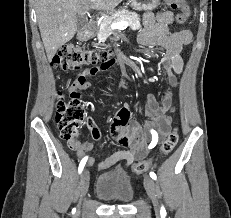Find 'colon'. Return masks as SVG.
<instances>
[{
    "mask_svg": "<svg viewBox=\"0 0 231 218\" xmlns=\"http://www.w3.org/2000/svg\"><path fill=\"white\" fill-rule=\"evenodd\" d=\"M165 2L172 9L182 10V13L177 15L178 23H184L187 20L189 9L184 0H165ZM103 60H111L108 50L96 51L74 44H65L53 57L52 66L59 70L87 69L88 66H101ZM59 95L54 119L60 137L71 143L78 140L81 128L88 122L87 112L77 89L72 88L67 97ZM177 141L178 132L175 129L164 139L159 155H168L176 146ZM153 164V159L139 160L133 165V171L137 174L144 173Z\"/></svg>",
    "mask_w": 231,
    "mask_h": 218,
    "instance_id": "colon-1",
    "label": "colon"
}]
</instances>
